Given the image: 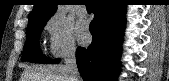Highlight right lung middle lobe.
I'll use <instances>...</instances> for the list:
<instances>
[{
  "mask_svg": "<svg viewBox=\"0 0 169 81\" xmlns=\"http://www.w3.org/2000/svg\"><path fill=\"white\" fill-rule=\"evenodd\" d=\"M47 21L48 20H42L28 25L22 61L42 64H48L51 61V59L43 55L39 48L40 34Z\"/></svg>",
  "mask_w": 169,
  "mask_h": 81,
  "instance_id": "right-lung-middle-lobe-1",
  "label": "right lung middle lobe"
}]
</instances>
